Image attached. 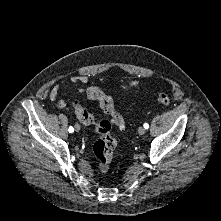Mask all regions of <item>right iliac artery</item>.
Returning <instances> with one entry per match:
<instances>
[{
    "mask_svg": "<svg viewBox=\"0 0 221 221\" xmlns=\"http://www.w3.org/2000/svg\"><path fill=\"white\" fill-rule=\"evenodd\" d=\"M68 130L70 133H72L74 131V128L72 126H70Z\"/></svg>",
    "mask_w": 221,
    "mask_h": 221,
    "instance_id": "1",
    "label": "right iliac artery"
}]
</instances>
